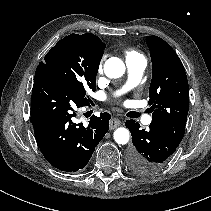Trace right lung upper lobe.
Returning a JSON list of instances; mask_svg holds the SVG:
<instances>
[{
    "instance_id": "obj_1",
    "label": "right lung upper lobe",
    "mask_w": 211,
    "mask_h": 211,
    "mask_svg": "<svg viewBox=\"0 0 211 211\" xmlns=\"http://www.w3.org/2000/svg\"><path fill=\"white\" fill-rule=\"evenodd\" d=\"M82 38L90 41L95 45V47L99 50L100 53L103 55V50L105 49V44L100 40L99 37L95 36L94 34L91 33H86L83 35H80Z\"/></svg>"
}]
</instances>
